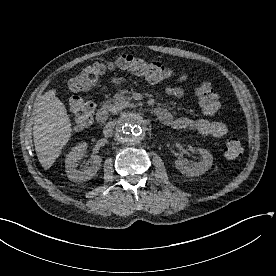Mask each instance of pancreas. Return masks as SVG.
I'll return each mask as SVG.
<instances>
[{
	"instance_id": "cf45deb5",
	"label": "pancreas",
	"mask_w": 276,
	"mask_h": 276,
	"mask_svg": "<svg viewBox=\"0 0 276 276\" xmlns=\"http://www.w3.org/2000/svg\"><path fill=\"white\" fill-rule=\"evenodd\" d=\"M132 98L124 93H117L112 99L107 101V108L112 114H117L127 107H134Z\"/></svg>"
}]
</instances>
